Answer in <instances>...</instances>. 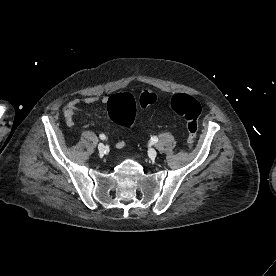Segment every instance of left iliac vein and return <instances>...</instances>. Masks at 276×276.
<instances>
[{"label":"left iliac vein","instance_id":"1","mask_svg":"<svg viewBox=\"0 0 276 276\" xmlns=\"http://www.w3.org/2000/svg\"><path fill=\"white\" fill-rule=\"evenodd\" d=\"M148 156H149L151 159L156 158V156H157L156 150L153 149V148H150V149L148 150Z\"/></svg>","mask_w":276,"mask_h":276}]
</instances>
